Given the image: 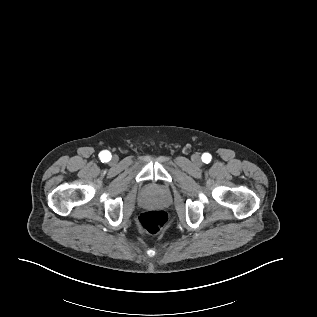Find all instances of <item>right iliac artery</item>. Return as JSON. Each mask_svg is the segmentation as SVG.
Segmentation results:
<instances>
[{
    "mask_svg": "<svg viewBox=\"0 0 317 317\" xmlns=\"http://www.w3.org/2000/svg\"><path fill=\"white\" fill-rule=\"evenodd\" d=\"M99 157H100L102 162H108L111 159V154L109 151H102L99 154Z\"/></svg>",
    "mask_w": 317,
    "mask_h": 317,
    "instance_id": "right-iliac-artery-1",
    "label": "right iliac artery"
}]
</instances>
